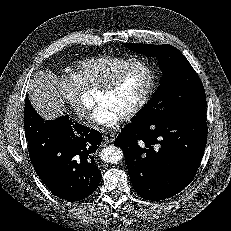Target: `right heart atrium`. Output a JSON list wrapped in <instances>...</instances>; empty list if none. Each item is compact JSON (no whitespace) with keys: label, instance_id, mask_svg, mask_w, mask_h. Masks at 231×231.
<instances>
[{"label":"right heart atrium","instance_id":"1","mask_svg":"<svg viewBox=\"0 0 231 231\" xmlns=\"http://www.w3.org/2000/svg\"><path fill=\"white\" fill-rule=\"evenodd\" d=\"M57 94L69 104L80 119L85 120L89 117L90 108L85 102L82 86L74 75H60L57 83Z\"/></svg>","mask_w":231,"mask_h":231}]
</instances>
